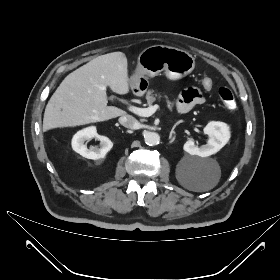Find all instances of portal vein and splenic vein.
Returning a JSON list of instances; mask_svg holds the SVG:
<instances>
[{
	"label": "portal vein and splenic vein",
	"mask_w": 280,
	"mask_h": 280,
	"mask_svg": "<svg viewBox=\"0 0 280 280\" xmlns=\"http://www.w3.org/2000/svg\"><path fill=\"white\" fill-rule=\"evenodd\" d=\"M129 111H131L132 113L141 116V117H149L151 115H153L157 109H159V106L153 105V106H149L147 108H140V107H136V106H129L128 107Z\"/></svg>",
	"instance_id": "18ae733b"
}]
</instances>
